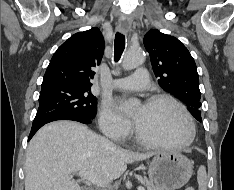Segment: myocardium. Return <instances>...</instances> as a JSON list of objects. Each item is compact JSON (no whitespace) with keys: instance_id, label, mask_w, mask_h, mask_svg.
Segmentation results:
<instances>
[{"instance_id":"1","label":"myocardium","mask_w":234,"mask_h":190,"mask_svg":"<svg viewBox=\"0 0 234 190\" xmlns=\"http://www.w3.org/2000/svg\"><path fill=\"white\" fill-rule=\"evenodd\" d=\"M160 101H167V102L172 103L183 113V115L185 116L186 121L188 123V127H189V134H188L187 138L184 141L175 142V143L174 142L155 141V140H152V139H149L148 137H146L141 132V130L139 129L136 122H134V132H135V136H136L137 140L146 146L156 147V148L181 149V148H185V147L191 145L195 139L196 128H195L194 120H193L190 112L186 108V106L183 103H181L178 99H176L175 97H173L169 94H165V93L155 94V95L151 96L146 101V104H154V103H157Z\"/></svg>"}]
</instances>
